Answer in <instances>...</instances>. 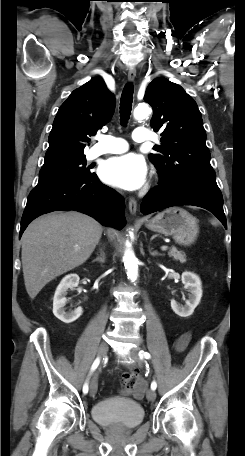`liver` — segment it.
<instances>
[{
  "label": "liver",
  "mask_w": 245,
  "mask_h": 456,
  "mask_svg": "<svg viewBox=\"0 0 245 456\" xmlns=\"http://www.w3.org/2000/svg\"><path fill=\"white\" fill-rule=\"evenodd\" d=\"M102 231L95 219L75 211L35 219L22 236L21 259L29 297L34 299L48 282L86 262Z\"/></svg>",
  "instance_id": "1"
}]
</instances>
